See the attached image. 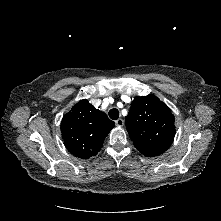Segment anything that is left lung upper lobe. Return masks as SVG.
Returning <instances> with one entry per match:
<instances>
[{
  "mask_svg": "<svg viewBox=\"0 0 221 221\" xmlns=\"http://www.w3.org/2000/svg\"><path fill=\"white\" fill-rule=\"evenodd\" d=\"M125 123L134 146L147 157L162 154L174 140L172 111L155 95L134 98Z\"/></svg>",
  "mask_w": 221,
  "mask_h": 221,
  "instance_id": "5c2ea615",
  "label": "left lung upper lobe"
}]
</instances>
